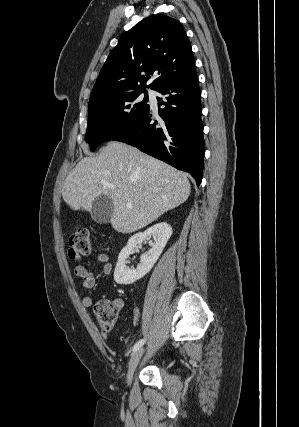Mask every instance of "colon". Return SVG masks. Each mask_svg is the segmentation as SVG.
Wrapping results in <instances>:
<instances>
[{
  "label": "colon",
  "mask_w": 299,
  "mask_h": 427,
  "mask_svg": "<svg viewBox=\"0 0 299 427\" xmlns=\"http://www.w3.org/2000/svg\"><path fill=\"white\" fill-rule=\"evenodd\" d=\"M90 251L89 231L86 228L77 229L69 239V256L78 259L89 255ZM94 313L102 331H111L117 318V310L108 302L99 301L94 305Z\"/></svg>",
  "instance_id": "5ec220e1"
}]
</instances>
